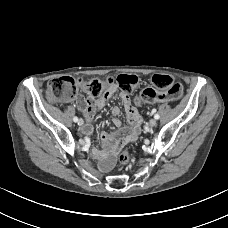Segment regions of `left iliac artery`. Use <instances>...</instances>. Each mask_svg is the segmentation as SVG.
<instances>
[{
  "mask_svg": "<svg viewBox=\"0 0 228 228\" xmlns=\"http://www.w3.org/2000/svg\"><path fill=\"white\" fill-rule=\"evenodd\" d=\"M154 118L158 120L160 118L159 114H155Z\"/></svg>",
  "mask_w": 228,
  "mask_h": 228,
  "instance_id": "left-iliac-artery-1",
  "label": "left iliac artery"
}]
</instances>
